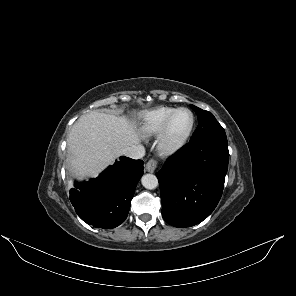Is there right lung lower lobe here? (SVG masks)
Masks as SVG:
<instances>
[{
    "mask_svg": "<svg viewBox=\"0 0 296 296\" xmlns=\"http://www.w3.org/2000/svg\"><path fill=\"white\" fill-rule=\"evenodd\" d=\"M142 160L120 157L99 177L76 183L70 201L78 216L96 228L111 229L127 217L135 187L143 175Z\"/></svg>",
    "mask_w": 296,
    "mask_h": 296,
    "instance_id": "right-lung-lower-lobe-1",
    "label": "right lung lower lobe"
}]
</instances>
